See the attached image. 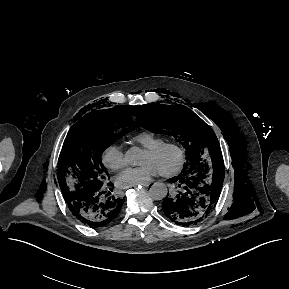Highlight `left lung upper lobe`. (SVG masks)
Instances as JSON below:
<instances>
[{
	"label": "left lung upper lobe",
	"mask_w": 289,
	"mask_h": 289,
	"mask_svg": "<svg viewBox=\"0 0 289 289\" xmlns=\"http://www.w3.org/2000/svg\"><path fill=\"white\" fill-rule=\"evenodd\" d=\"M139 125L153 133L167 134L186 148L189 163L181 174L202 169L208 173L223 168L220 145L214 131L183 105L150 103L138 107Z\"/></svg>",
	"instance_id": "obj_1"
}]
</instances>
